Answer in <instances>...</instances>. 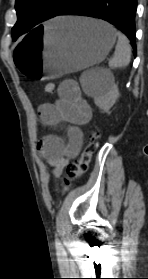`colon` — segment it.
Wrapping results in <instances>:
<instances>
[{"mask_svg":"<svg viewBox=\"0 0 148 279\" xmlns=\"http://www.w3.org/2000/svg\"><path fill=\"white\" fill-rule=\"evenodd\" d=\"M44 90L49 94H53L56 90V86L54 83H47ZM99 136L100 134L98 130L91 131L79 158L68 165L67 179L65 180V184L62 189L63 191L70 188L79 177L87 172L93 153L97 147Z\"/></svg>","mask_w":148,"mask_h":279,"instance_id":"obj_1","label":"colon"}]
</instances>
